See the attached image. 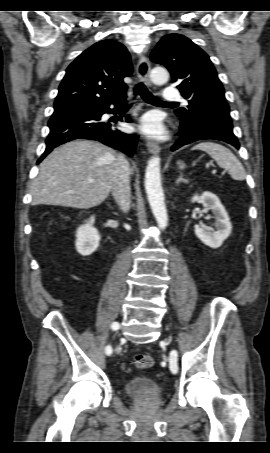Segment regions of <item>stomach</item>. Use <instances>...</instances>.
<instances>
[{
	"instance_id": "1",
	"label": "stomach",
	"mask_w": 270,
	"mask_h": 453,
	"mask_svg": "<svg viewBox=\"0 0 270 453\" xmlns=\"http://www.w3.org/2000/svg\"><path fill=\"white\" fill-rule=\"evenodd\" d=\"M181 169L185 168V164L183 162H178L177 163Z\"/></svg>"
}]
</instances>
